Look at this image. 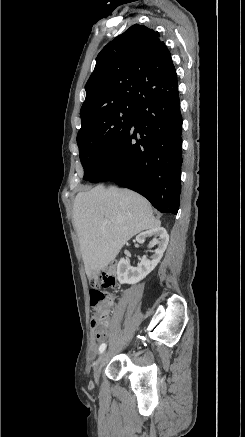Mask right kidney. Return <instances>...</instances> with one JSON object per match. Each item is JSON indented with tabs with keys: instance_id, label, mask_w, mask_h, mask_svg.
Wrapping results in <instances>:
<instances>
[{
	"instance_id": "1",
	"label": "right kidney",
	"mask_w": 245,
	"mask_h": 437,
	"mask_svg": "<svg viewBox=\"0 0 245 437\" xmlns=\"http://www.w3.org/2000/svg\"><path fill=\"white\" fill-rule=\"evenodd\" d=\"M153 237L152 245L157 244L158 247L150 257L143 256L138 267H132L129 261L121 258L117 265V279L121 284H136L144 279L160 262L163 253L165 252L169 235L162 227L147 230L136 236V241L140 244L144 243L146 238Z\"/></svg>"
}]
</instances>
